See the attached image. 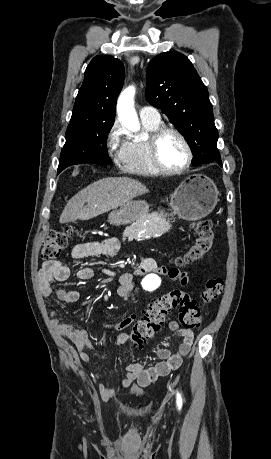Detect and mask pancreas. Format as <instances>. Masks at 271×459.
Returning a JSON list of instances; mask_svg holds the SVG:
<instances>
[{"mask_svg":"<svg viewBox=\"0 0 271 459\" xmlns=\"http://www.w3.org/2000/svg\"><path fill=\"white\" fill-rule=\"evenodd\" d=\"M141 226L140 230H136L138 229L137 224H132V226L125 229L124 235H132L134 239H156L158 235L165 233L170 228L168 222L161 216H157V218L149 216L148 219L141 221Z\"/></svg>","mask_w":271,"mask_h":459,"instance_id":"1","label":"pancreas"}]
</instances>
